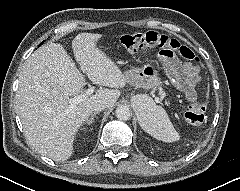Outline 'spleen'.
I'll list each match as a JSON object with an SVG mask.
<instances>
[{
  "instance_id": "obj_1",
  "label": "spleen",
  "mask_w": 240,
  "mask_h": 191,
  "mask_svg": "<svg viewBox=\"0 0 240 191\" xmlns=\"http://www.w3.org/2000/svg\"><path fill=\"white\" fill-rule=\"evenodd\" d=\"M141 126L148 134L159 141L171 143L178 141L180 138L165 110L155 104L146 108Z\"/></svg>"
}]
</instances>
